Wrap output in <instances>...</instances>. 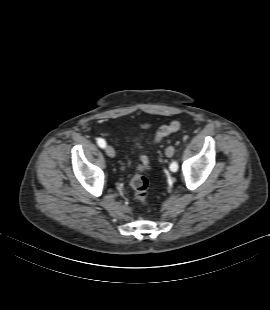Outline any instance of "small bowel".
<instances>
[{"label":"small bowel","mask_w":270,"mask_h":310,"mask_svg":"<svg viewBox=\"0 0 270 310\" xmlns=\"http://www.w3.org/2000/svg\"><path fill=\"white\" fill-rule=\"evenodd\" d=\"M149 126V124H144L142 125V128H147Z\"/></svg>","instance_id":"c3829d8e"}]
</instances>
